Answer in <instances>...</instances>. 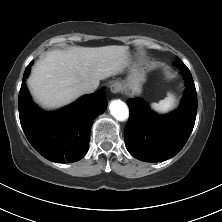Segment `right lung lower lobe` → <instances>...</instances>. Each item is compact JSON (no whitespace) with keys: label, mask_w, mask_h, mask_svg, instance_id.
I'll use <instances>...</instances> for the list:
<instances>
[{"label":"right lung lower lobe","mask_w":222,"mask_h":222,"mask_svg":"<svg viewBox=\"0 0 222 222\" xmlns=\"http://www.w3.org/2000/svg\"><path fill=\"white\" fill-rule=\"evenodd\" d=\"M29 72L30 66L24 72L19 92V117L28 141L50 161H78L87 153L94 118L107 106L104 87L58 112L47 113L30 99L25 84Z\"/></svg>","instance_id":"98d812e1"}]
</instances>
